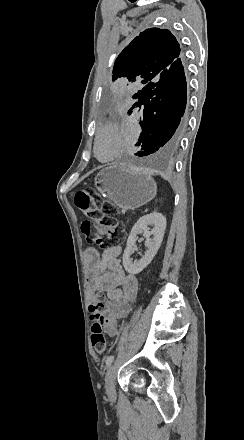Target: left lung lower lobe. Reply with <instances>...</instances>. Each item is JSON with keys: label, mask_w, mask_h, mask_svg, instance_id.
I'll return each mask as SVG.
<instances>
[{"label": "left lung lower lobe", "mask_w": 244, "mask_h": 440, "mask_svg": "<svg viewBox=\"0 0 244 440\" xmlns=\"http://www.w3.org/2000/svg\"><path fill=\"white\" fill-rule=\"evenodd\" d=\"M132 97L136 100L128 113L135 107L140 108L142 128L136 146L141 145L143 151L135 155L142 157L175 150L187 128L184 116L187 84L181 59Z\"/></svg>", "instance_id": "obj_1"}]
</instances>
